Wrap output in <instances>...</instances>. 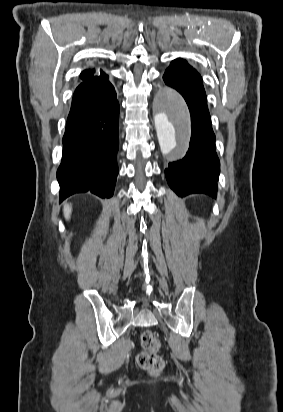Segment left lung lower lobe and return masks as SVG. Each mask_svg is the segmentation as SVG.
Here are the masks:
<instances>
[{"label": "left lung lower lobe", "mask_w": 283, "mask_h": 412, "mask_svg": "<svg viewBox=\"0 0 283 412\" xmlns=\"http://www.w3.org/2000/svg\"><path fill=\"white\" fill-rule=\"evenodd\" d=\"M165 83L186 100L191 115V139L186 156L165 170L169 186L181 197L193 193L217 196L220 163L202 78L196 73H165Z\"/></svg>", "instance_id": "0a47b994"}]
</instances>
